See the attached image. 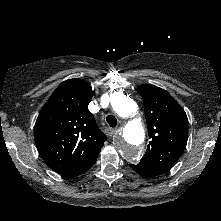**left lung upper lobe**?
<instances>
[{
  "mask_svg": "<svg viewBox=\"0 0 221 221\" xmlns=\"http://www.w3.org/2000/svg\"><path fill=\"white\" fill-rule=\"evenodd\" d=\"M136 90L144 102L150 138L140 164L159 175L171 169L185 150L188 119L185 111L166 90L148 84Z\"/></svg>",
  "mask_w": 221,
  "mask_h": 221,
  "instance_id": "obj_1",
  "label": "left lung upper lobe"
}]
</instances>
